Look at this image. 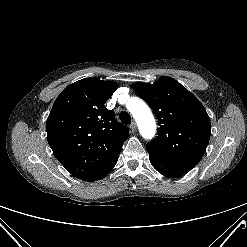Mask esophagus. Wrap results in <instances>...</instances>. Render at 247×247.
<instances>
[{
	"label": "esophagus",
	"instance_id": "esophagus-1",
	"mask_svg": "<svg viewBox=\"0 0 247 247\" xmlns=\"http://www.w3.org/2000/svg\"><path fill=\"white\" fill-rule=\"evenodd\" d=\"M136 128H137L136 123H135V122H132V123L130 124V129L134 132V131L136 130Z\"/></svg>",
	"mask_w": 247,
	"mask_h": 247
}]
</instances>
